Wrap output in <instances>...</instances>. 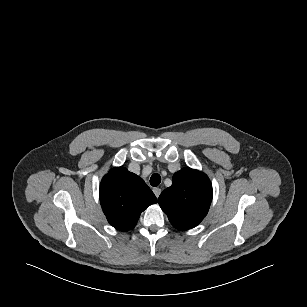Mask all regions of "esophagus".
I'll return each instance as SVG.
<instances>
[{
	"mask_svg": "<svg viewBox=\"0 0 307 307\" xmlns=\"http://www.w3.org/2000/svg\"><path fill=\"white\" fill-rule=\"evenodd\" d=\"M153 192L155 196L158 198L161 194V189L160 188H153Z\"/></svg>",
	"mask_w": 307,
	"mask_h": 307,
	"instance_id": "esophagus-1",
	"label": "esophagus"
}]
</instances>
